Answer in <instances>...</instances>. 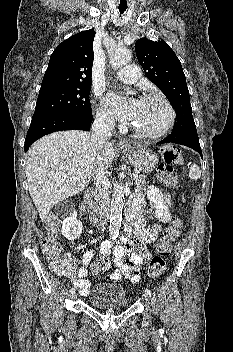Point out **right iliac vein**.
Instances as JSON below:
<instances>
[{"instance_id": "1", "label": "right iliac vein", "mask_w": 233, "mask_h": 352, "mask_svg": "<svg viewBox=\"0 0 233 352\" xmlns=\"http://www.w3.org/2000/svg\"><path fill=\"white\" fill-rule=\"evenodd\" d=\"M73 299H76L77 295L75 293L72 294Z\"/></svg>"}]
</instances>
